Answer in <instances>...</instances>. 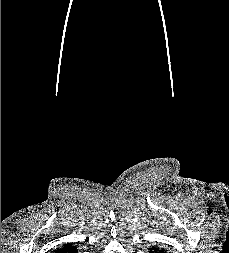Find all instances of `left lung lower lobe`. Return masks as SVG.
I'll return each instance as SVG.
<instances>
[{
  "label": "left lung lower lobe",
  "mask_w": 229,
  "mask_h": 253,
  "mask_svg": "<svg viewBox=\"0 0 229 253\" xmlns=\"http://www.w3.org/2000/svg\"><path fill=\"white\" fill-rule=\"evenodd\" d=\"M149 253H166L164 249H159L158 247L150 248Z\"/></svg>",
  "instance_id": "1"
}]
</instances>
